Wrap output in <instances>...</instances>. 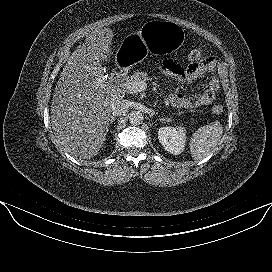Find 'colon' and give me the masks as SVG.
<instances>
[{"mask_svg":"<svg viewBox=\"0 0 272 272\" xmlns=\"http://www.w3.org/2000/svg\"><path fill=\"white\" fill-rule=\"evenodd\" d=\"M187 59L191 63H198L203 59V53L201 50L195 49L188 54ZM212 112L216 115L221 114L223 112V107L219 104L214 105Z\"/></svg>","mask_w":272,"mask_h":272,"instance_id":"obj_1","label":"colon"}]
</instances>
